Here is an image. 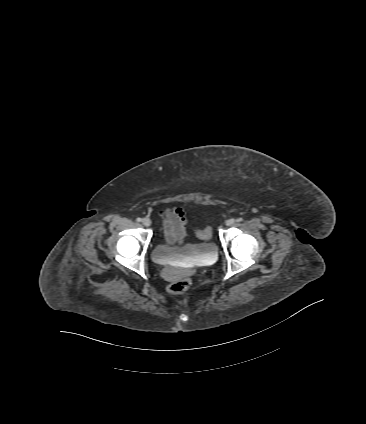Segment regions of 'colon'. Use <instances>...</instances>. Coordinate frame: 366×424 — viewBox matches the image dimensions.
<instances>
[{"label": "colon", "instance_id": "1", "mask_svg": "<svg viewBox=\"0 0 366 424\" xmlns=\"http://www.w3.org/2000/svg\"><path fill=\"white\" fill-rule=\"evenodd\" d=\"M195 233L197 237L201 239H207L212 236V229L210 227H207L203 230H196ZM189 286H190V279L182 278L169 284L168 292L172 295H179L184 293L189 288Z\"/></svg>", "mask_w": 366, "mask_h": 424}]
</instances>
